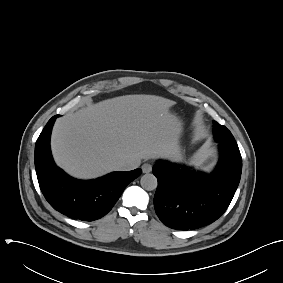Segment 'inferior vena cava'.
Listing matches in <instances>:
<instances>
[{
	"instance_id": "inferior-vena-cava-1",
	"label": "inferior vena cava",
	"mask_w": 283,
	"mask_h": 283,
	"mask_svg": "<svg viewBox=\"0 0 283 283\" xmlns=\"http://www.w3.org/2000/svg\"><path fill=\"white\" fill-rule=\"evenodd\" d=\"M138 167V164L130 160H120L116 163V169L119 171L132 170Z\"/></svg>"
}]
</instances>
